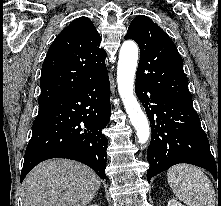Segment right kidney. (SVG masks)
Returning a JSON list of instances; mask_svg holds the SVG:
<instances>
[{"mask_svg":"<svg viewBox=\"0 0 221 206\" xmlns=\"http://www.w3.org/2000/svg\"><path fill=\"white\" fill-rule=\"evenodd\" d=\"M89 206H98L97 204H90Z\"/></svg>","mask_w":221,"mask_h":206,"instance_id":"right-kidney-1","label":"right kidney"}]
</instances>
